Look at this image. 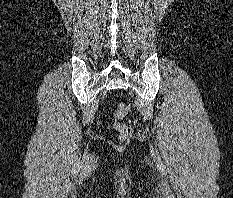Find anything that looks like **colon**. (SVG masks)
<instances>
[{
    "label": "colon",
    "mask_w": 233,
    "mask_h": 198,
    "mask_svg": "<svg viewBox=\"0 0 233 198\" xmlns=\"http://www.w3.org/2000/svg\"><path fill=\"white\" fill-rule=\"evenodd\" d=\"M127 113L128 106L125 103H120L114 112L113 127L121 140L128 139L132 134L131 127L122 121Z\"/></svg>",
    "instance_id": "1"
}]
</instances>
